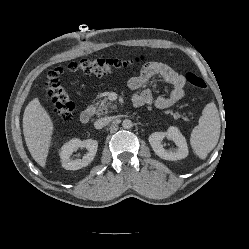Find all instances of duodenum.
I'll use <instances>...</instances> for the list:
<instances>
[{
    "instance_id": "duodenum-1",
    "label": "duodenum",
    "mask_w": 249,
    "mask_h": 249,
    "mask_svg": "<svg viewBox=\"0 0 249 249\" xmlns=\"http://www.w3.org/2000/svg\"><path fill=\"white\" fill-rule=\"evenodd\" d=\"M93 115V110L88 108V109H85L81 115H80V121L83 123V124H87L90 122L91 120V117Z\"/></svg>"
}]
</instances>
